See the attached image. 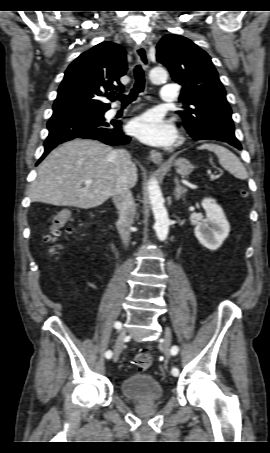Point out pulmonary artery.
<instances>
[{"instance_id":"obj_1","label":"pulmonary artery","mask_w":270,"mask_h":453,"mask_svg":"<svg viewBox=\"0 0 270 453\" xmlns=\"http://www.w3.org/2000/svg\"><path fill=\"white\" fill-rule=\"evenodd\" d=\"M177 95V87L174 84H168L161 88V99L163 101H175Z\"/></svg>"}]
</instances>
